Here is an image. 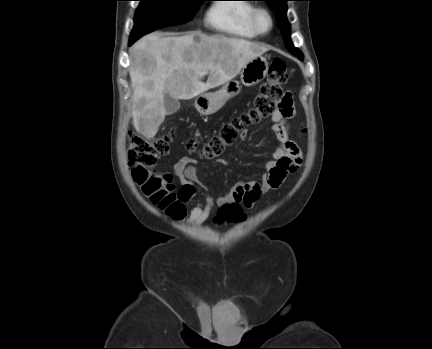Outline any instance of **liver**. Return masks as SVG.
I'll return each instance as SVG.
<instances>
[{"mask_svg": "<svg viewBox=\"0 0 432 349\" xmlns=\"http://www.w3.org/2000/svg\"><path fill=\"white\" fill-rule=\"evenodd\" d=\"M268 48L223 34L200 31L182 36L149 34L130 50L129 74L133 89V125L147 138L165 119L164 97L192 99L235 78L252 59ZM209 74L206 83L200 73Z\"/></svg>", "mask_w": 432, "mask_h": 349, "instance_id": "liver-1", "label": "liver"}]
</instances>
